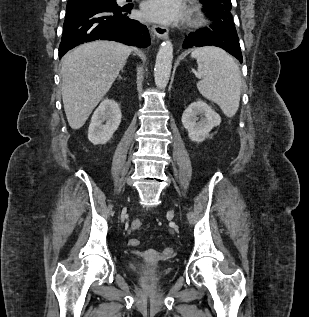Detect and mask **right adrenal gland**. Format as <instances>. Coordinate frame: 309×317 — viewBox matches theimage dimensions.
Returning a JSON list of instances; mask_svg holds the SVG:
<instances>
[{
    "label": "right adrenal gland",
    "mask_w": 309,
    "mask_h": 317,
    "mask_svg": "<svg viewBox=\"0 0 309 317\" xmlns=\"http://www.w3.org/2000/svg\"><path fill=\"white\" fill-rule=\"evenodd\" d=\"M122 71V73H123V69L121 70ZM121 78V75H119V79Z\"/></svg>",
    "instance_id": "right-adrenal-gland-1"
}]
</instances>
